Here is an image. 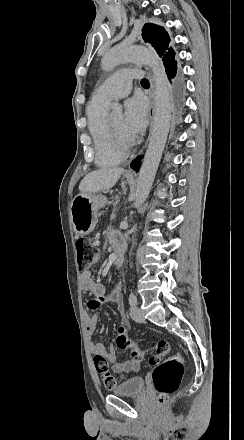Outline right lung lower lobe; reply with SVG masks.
Listing matches in <instances>:
<instances>
[{
    "label": "right lung lower lobe",
    "instance_id": "1",
    "mask_svg": "<svg viewBox=\"0 0 244 440\" xmlns=\"http://www.w3.org/2000/svg\"><path fill=\"white\" fill-rule=\"evenodd\" d=\"M140 164H141V156H138L136 159H134L131 165L134 169H138L140 167Z\"/></svg>",
    "mask_w": 244,
    "mask_h": 440
}]
</instances>
